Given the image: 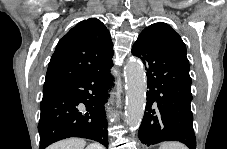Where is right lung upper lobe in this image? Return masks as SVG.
<instances>
[{"instance_id":"obj_1","label":"right lung upper lobe","mask_w":227,"mask_h":149,"mask_svg":"<svg viewBox=\"0 0 227 149\" xmlns=\"http://www.w3.org/2000/svg\"><path fill=\"white\" fill-rule=\"evenodd\" d=\"M112 57L113 43L104 24L96 18L83 20L58 42L48 65L43 90L97 70Z\"/></svg>"}]
</instances>
